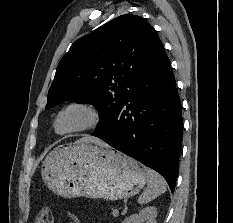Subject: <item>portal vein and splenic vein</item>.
<instances>
[{
	"label": "portal vein and splenic vein",
	"mask_w": 233,
	"mask_h": 223,
	"mask_svg": "<svg viewBox=\"0 0 233 223\" xmlns=\"http://www.w3.org/2000/svg\"><path fill=\"white\" fill-rule=\"evenodd\" d=\"M113 215H114V217H117L118 211H114Z\"/></svg>",
	"instance_id": "1"
}]
</instances>
